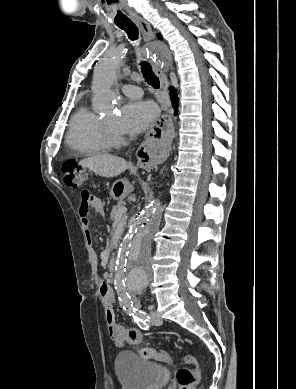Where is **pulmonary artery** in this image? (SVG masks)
I'll use <instances>...</instances> for the list:
<instances>
[{"mask_svg": "<svg viewBox=\"0 0 296 389\" xmlns=\"http://www.w3.org/2000/svg\"><path fill=\"white\" fill-rule=\"evenodd\" d=\"M121 91L130 98H139L142 96V90L139 87L130 84L123 85Z\"/></svg>", "mask_w": 296, "mask_h": 389, "instance_id": "e3ab8cb5", "label": "pulmonary artery"}]
</instances>
